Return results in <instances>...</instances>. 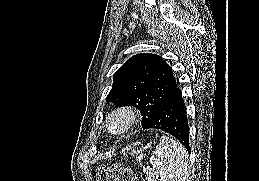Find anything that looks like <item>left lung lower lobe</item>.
<instances>
[{
  "label": "left lung lower lobe",
  "mask_w": 259,
  "mask_h": 181,
  "mask_svg": "<svg viewBox=\"0 0 259 181\" xmlns=\"http://www.w3.org/2000/svg\"><path fill=\"white\" fill-rule=\"evenodd\" d=\"M161 129L176 137L190 153L189 127L181 91L175 87L164 100L153 120L143 129Z\"/></svg>",
  "instance_id": "1"
}]
</instances>
